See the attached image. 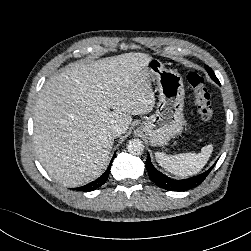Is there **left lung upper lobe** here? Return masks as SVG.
Returning a JSON list of instances; mask_svg holds the SVG:
<instances>
[{
  "label": "left lung upper lobe",
  "mask_w": 251,
  "mask_h": 251,
  "mask_svg": "<svg viewBox=\"0 0 251 251\" xmlns=\"http://www.w3.org/2000/svg\"><path fill=\"white\" fill-rule=\"evenodd\" d=\"M206 71L208 72V74L210 75V77L217 83L218 79L215 76L214 72L212 71V69L210 67H208L207 65H205Z\"/></svg>",
  "instance_id": "5c2ea615"
}]
</instances>
